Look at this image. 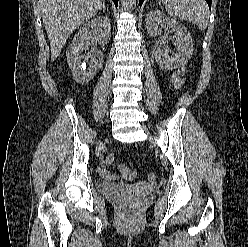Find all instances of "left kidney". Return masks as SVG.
I'll return each instance as SVG.
<instances>
[{
    "mask_svg": "<svg viewBox=\"0 0 248 247\" xmlns=\"http://www.w3.org/2000/svg\"><path fill=\"white\" fill-rule=\"evenodd\" d=\"M146 28L150 36L161 34L163 28H170L177 45L176 52L169 55L168 49L157 51L156 60L164 70H172L184 65L193 54V41L186 27L165 16L160 10L150 12L146 17Z\"/></svg>",
    "mask_w": 248,
    "mask_h": 247,
    "instance_id": "1",
    "label": "left kidney"
}]
</instances>
